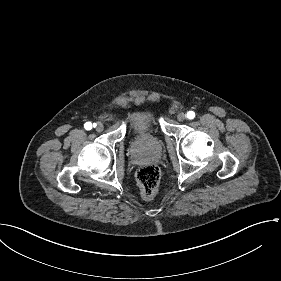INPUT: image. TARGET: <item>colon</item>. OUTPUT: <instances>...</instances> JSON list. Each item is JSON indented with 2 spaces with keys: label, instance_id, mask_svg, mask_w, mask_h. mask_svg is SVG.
I'll list each match as a JSON object with an SVG mask.
<instances>
[{
  "label": "colon",
  "instance_id": "5ec220e1",
  "mask_svg": "<svg viewBox=\"0 0 281 281\" xmlns=\"http://www.w3.org/2000/svg\"><path fill=\"white\" fill-rule=\"evenodd\" d=\"M137 180L145 198H152L160 181V170L155 164L142 166L137 172Z\"/></svg>",
  "mask_w": 281,
  "mask_h": 281
}]
</instances>
